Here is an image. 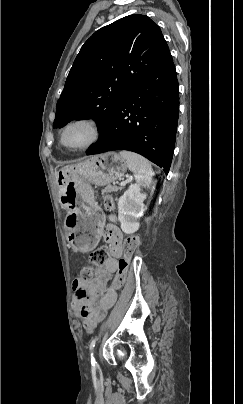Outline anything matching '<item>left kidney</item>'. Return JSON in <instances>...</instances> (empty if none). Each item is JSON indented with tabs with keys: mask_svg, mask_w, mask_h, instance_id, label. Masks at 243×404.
<instances>
[{
	"mask_svg": "<svg viewBox=\"0 0 243 404\" xmlns=\"http://www.w3.org/2000/svg\"><path fill=\"white\" fill-rule=\"evenodd\" d=\"M146 200V194H142V190L138 184H131L128 190L120 196L118 200V218L121 224L120 228L124 234H134L139 230L140 218L145 212L143 204Z\"/></svg>",
	"mask_w": 243,
	"mask_h": 404,
	"instance_id": "1",
	"label": "left kidney"
}]
</instances>
